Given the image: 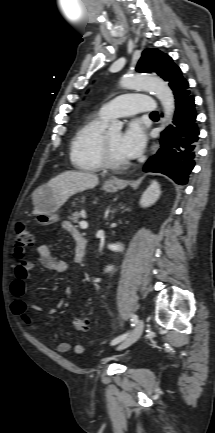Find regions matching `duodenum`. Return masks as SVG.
<instances>
[{
	"label": "duodenum",
	"instance_id": "obj_1",
	"mask_svg": "<svg viewBox=\"0 0 215 433\" xmlns=\"http://www.w3.org/2000/svg\"><path fill=\"white\" fill-rule=\"evenodd\" d=\"M80 253L81 257L79 259V262H83L85 255H86V241H84L80 247Z\"/></svg>",
	"mask_w": 215,
	"mask_h": 433
}]
</instances>
